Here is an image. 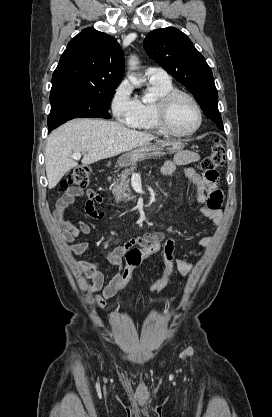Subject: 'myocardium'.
I'll use <instances>...</instances> for the list:
<instances>
[{"label": "myocardium", "mask_w": 272, "mask_h": 417, "mask_svg": "<svg viewBox=\"0 0 272 417\" xmlns=\"http://www.w3.org/2000/svg\"><path fill=\"white\" fill-rule=\"evenodd\" d=\"M179 98H186L187 100H189L194 105L197 111V115H198L197 124L192 130L188 132H178L174 130L170 126V123H169L170 110L174 102L178 100ZM155 118H156V122L159 128L164 133L169 134L174 137H179V138L189 137V136L194 135L200 129L202 122H203V111H202L200 104L198 103V101L195 99L194 96H192L191 94L185 91L174 89L166 93L165 95H163L157 101L156 106H155Z\"/></svg>", "instance_id": "myocardium-1"}]
</instances>
